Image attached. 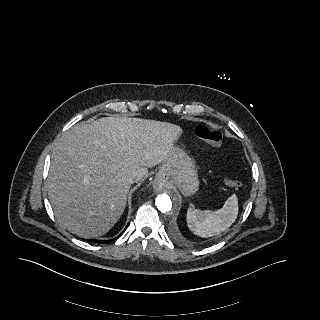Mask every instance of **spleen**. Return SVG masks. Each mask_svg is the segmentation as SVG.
I'll return each mask as SVG.
<instances>
[{"instance_id": "1", "label": "spleen", "mask_w": 320, "mask_h": 320, "mask_svg": "<svg viewBox=\"0 0 320 320\" xmlns=\"http://www.w3.org/2000/svg\"><path fill=\"white\" fill-rule=\"evenodd\" d=\"M238 199L235 194L228 197L223 207L216 211H201L189 208L187 224L189 229L201 237H212L228 229L237 219Z\"/></svg>"}]
</instances>
